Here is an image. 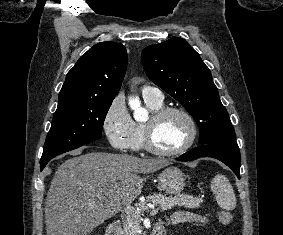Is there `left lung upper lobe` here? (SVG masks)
Wrapping results in <instances>:
<instances>
[{
	"label": "left lung upper lobe",
	"instance_id": "5c2ea615",
	"mask_svg": "<svg viewBox=\"0 0 283 235\" xmlns=\"http://www.w3.org/2000/svg\"><path fill=\"white\" fill-rule=\"evenodd\" d=\"M141 61L149 79L179 101L195 119L202 145L235 141L209 68L182 38L148 46Z\"/></svg>",
	"mask_w": 283,
	"mask_h": 235
}]
</instances>
